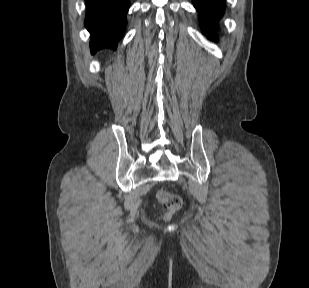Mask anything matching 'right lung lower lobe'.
Segmentation results:
<instances>
[{
  "label": "right lung lower lobe",
  "instance_id": "1",
  "mask_svg": "<svg viewBox=\"0 0 309 288\" xmlns=\"http://www.w3.org/2000/svg\"><path fill=\"white\" fill-rule=\"evenodd\" d=\"M85 26L90 32L91 52L103 48L116 49L125 31L129 0H85Z\"/></svg>",
  "mask_w": 309,
  "mask_h": 288
}]
</instances>
